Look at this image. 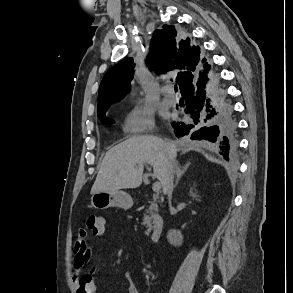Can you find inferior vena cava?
Listing matches in <instances>:
<instances>
[{
	"mask_svg": "<svg viewBox=\"0 0 293 293\" xmlns=\"http://www.w3.org/2000/svg\"><path fill=\"white\" fill-rule=\"evenodd\" d=\"M175 167L173 163H169L168 170L163 181V190L168 196L169 205H171V198L173 192V179H174Z\"/></svg>",
	"mask_w": 293,
	"mask_h": 293,
	"instance_id": "inferior-vena-cava-1",
	"label": "inferior vena cava"
}]
</instances>
